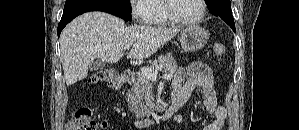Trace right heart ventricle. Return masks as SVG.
I'll return each instance as SVG.
<instances>
[{
	"label": "right heart ventricle",
	"mask_w": 299,
	"mask_h": 130,
	"mask_svg": "<svg viewBox=\"0 0 299 130\" xmlns=\"http://www.w3.org/2000/svg\"><path fill=\"white\" fill-rule=\"evenodd\" d=\"M148 16L146 23L151 26H167L170 24L165 10L164 0H150L147 5Z\"/></svg>",
	"instance_id": "e07e8e85"
}]
</instances>
